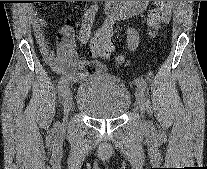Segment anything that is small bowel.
Wrapping results in <instances>:
<instances>
[{"instance_id":"1","label":"small bowel","mask_w":207,"mask_h":169,"mask_svg":"<svg viewBox=\"0 0 207 169\" xmlns=\"http://www.w3.org/2000/svg\"><path fill=\"white\" fill-rule=\"evenodd\" d=\"M67 2L72 3L74 1ZM147 2L110 1L106 9L108 20L101 30L111 32V26L115 20L139 13L145 8ZM29 18L33 26L40 53L44 61L55 72L71 80H80L103 70L104 66L99 61H84L78 57L74 32L69 17L64 19L63 25L58 30L59 40L55 50L51 48L44 31L47 24L46 20L35 10L29 12Z\"/></svg>"}]
</instances>
